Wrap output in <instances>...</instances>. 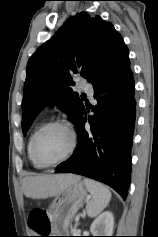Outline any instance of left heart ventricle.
Returning <instances> with one entry per match:
<instances>
[{
  "label": "left heart ventricle",
  "mask_w": 158,
  "mask_h": 237,
  "mask_svg": "<svg viewBox=\"0 0 158 237\" xmlns=\"http://www.w3.org/2000/svg\"><path fill=\"white\" fill-rule=\"evenodd\" d=\"M70 146V136L62 127H52L42 133L37 142V154L44 161L62 157Z\"/></svg>",
  "instance_id": "1"
}]
</instances>
